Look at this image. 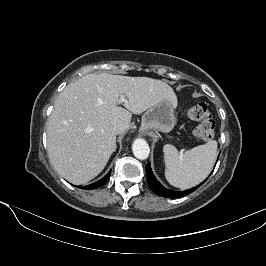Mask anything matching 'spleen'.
Masks as SVG:
<instances>
[{
	"mask_svg": "<svg viewBox=\"0 0 266 266\" xmlns=\"http://www.w3.org/2000/svg\"><path fill=\"white\" fill-rule=\"evenodd\" d=\"M163 152L167 181L180 189H188L202 182L211 172L217 156V142L211 140L184 153L166 144Z\"/></svg>",
	"mask_w": 266,
	"mask_h": 266,
	"instance_id": "obj_1",
	"label": "spleen"
}]
</instances>
